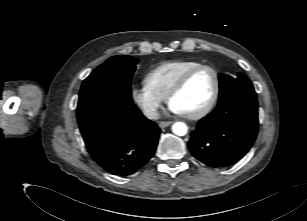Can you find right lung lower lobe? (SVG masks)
<instances>
[{"instance_id": "right-lung-lower-lobe-1", "label": "right lung lower lobe", "mask_w": 307, "mask_h": 221, "mask_svg": "<svg viewBox=\"0 0 307 221\" xmlns=\"http://www.w3.org/2000/svg\"><path fill=\"white\" fill-rule=\"evenodd\" d=\"M91 158L105 171L127 176L146 165L160 134L136 106H109L79 123Z\"/></svg>"}]
</instances>
